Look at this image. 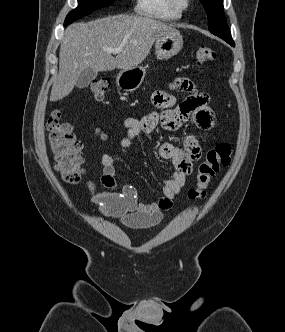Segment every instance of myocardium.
Masks as SVG:
<instances>
[{
	"label": "myocardium",
	"instance_id": "myocardium-1",
	"mask_svg": "<svg viewBox=\"0 0 285 332\" xmlns=\"http://www.w3.org/2000/svg\"><path fill=\"white\" fill-rule=\"evenodd\" d=\"M168 3L175 12L182 15L189 9L191 0H168Z\"/></svg>",
	"mask_w": 285,
	"mask_h": 332
}]
</instances>
